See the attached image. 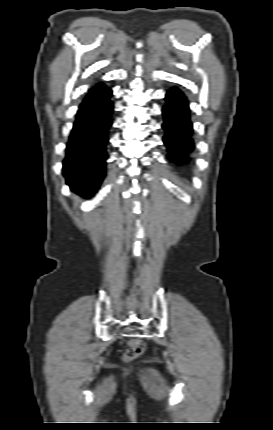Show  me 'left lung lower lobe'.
<instances>
[{"instance_id": "left-lung-lower-lobe-1", "label": "left lung lower lobe", "mask_w": 273, "mask_h": 430, "mask_svg": "<svg viewBox=\"0 0 273 430\" xmlns=\"http://www.w3.org/2000/svg\"><path fill=\"white\" fill-rule=\"evenodd\" d=\"M165 99L163 129L166 135L163 142L168 148L169 160L183 168L190 162L194 148L188 102L177 88L170 89Z\"/></svg>"}]
</instances>
